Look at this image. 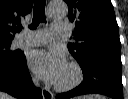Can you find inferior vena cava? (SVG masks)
<instances>
[{"label": "inferior vena cava", "mask_w": 128, "mask_h": 99, "mask_svg": "<svg viewBox=\"0 0 128 99\" xmlns=\"http://www.w3.org/2000/svg\"><path fill=\"white\" fill-rule=\"evenodd\" d=\"M34 83H35L36 86H39V82H38L37 79L34 80Z\"/></svg>", "instance_id": "inferior-vena-cava-1"}]
</instances>
